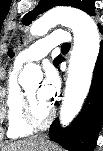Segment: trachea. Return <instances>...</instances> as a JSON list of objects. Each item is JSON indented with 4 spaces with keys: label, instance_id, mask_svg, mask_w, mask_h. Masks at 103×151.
Returning <instances> with one entry per match:
<instances>
[{
    "label": "trachea",
    "instance_id": "1",
    "mask_svg": "<svg viewBox=\"0 0 103 151\" xmlns=\"http://www.w3.org/2000/svg\"><path fill=\"white\" fill-rule=\"evenodd\" d=\"M70 47V43H65V44H63L62 45V49H67V48H69Z\"/></svg>",
    "mask_w": 103,
    "mask_h": 151
}]
</instances>
